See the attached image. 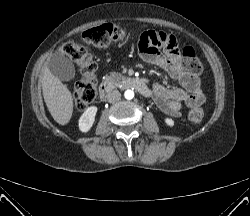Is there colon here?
<instances>
[{"label":"colon","instance_id":"obj_1","mask_svg":"<svg viewBox=\"0 0 250 216\" xmlns=\"http://www.w3.org/2000/svg\"><path fill=\"white\" fill-rule=\"evenodd\" d=\"M127 38V31L113 24H103L86 30L81 35V40L93 47L106 48L112 44L123 43ZM63 55L80 66L83 79L77 83L74 90L75 105L79 110L86 109L96 97V81L94 74L96 62L87 49L78 42H67L62 46ZM182 69L190 75L202 72V64L191 47H185L179 57ZM204 118L203 108L195 106L188 113V120L193 125H198Z\"/></svg>","mask_w":250,"mask_h":216}]
</instances>
